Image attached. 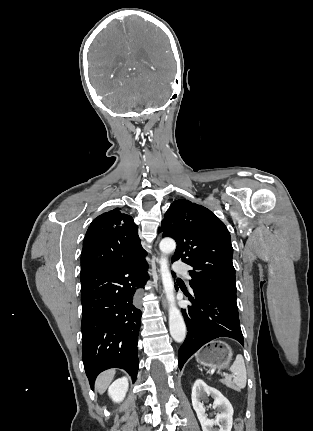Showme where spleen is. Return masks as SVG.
<instances>
[{
	"label": "spleen",
	"mask_w": 313,
	"mask_h": 431,
	"mask_svg": "<svg viewBox=\"0 0 313 431\" xmlns=\"http://www.w3.org/2000/svg\"><path fill=\"white\" fill-rule=\"evenodd\" d=\"M230 372L234 375L233 382L237 385L239 389L245 388L247 382V373L244 363V358L242 355L238 354L235 361L229 368ZM226 380H230L231 376L225 373L222 374Z\"/></svg>",
	"instance_id": "1"
}]
</instances>
